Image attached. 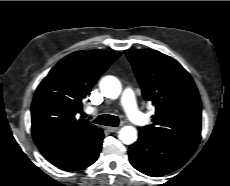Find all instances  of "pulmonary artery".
Segmentation results:
<instances>
[{"instance_id":"1","label":"pulmonary artery","mask_w":230,"mask_h":186,"mask_svg":"<svg viewBox=\"0 0 230 186\" xmlns=\"http://www.w3.org/2000/svg\"><path fill=\"white\" fill-rule=\"evenodd\" d=\"M122 106L131 120L137 126H143L146 123V117L136 106L135 95L132 89L126 88L122 94Z\"/></svg>"}]
</instances>
